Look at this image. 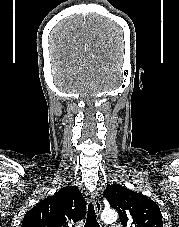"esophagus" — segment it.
<instances>
[{"mask_svg":"<svg viewBox=\"0 0 179 227\" xmlns=\"http://www.w3.org/2000/svg\"><path fill=\"white\" fill-rule=\"evenodd\" d=\"M93 202H94V207H95V211L97 216L99 217L102 211V204L101 201L98 198V195L95 193L93 195Z\"/></svg>","mask_w":179,"mask_h":227,"instance_id":"obj_1","label":"esophagus"}]
</instances>
